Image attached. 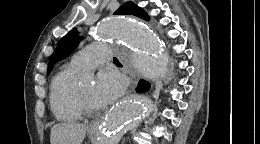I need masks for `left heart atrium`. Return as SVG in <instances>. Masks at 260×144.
Wrapping results in <instances>:
<instances>
[{"instance_id":"obj_1","label":"left heart atrium","mask_w":260,"mask_h":144,"mask_svg":"<svg viewBox=\"0 0 260 144\" xmlns=\"http://www.w3.org/2000/svg\"><path fill=\"white\" fill-rule=\"evenodd\" d=\"M124 89L122 77L114 71L99 74L93 91V98L99 107L117 99Z\"/></svg>"}]
</instances>
